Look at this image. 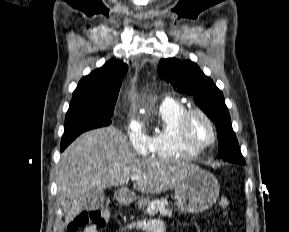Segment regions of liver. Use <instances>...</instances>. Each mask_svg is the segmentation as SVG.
I'll list each match as a JSON object with an SVG mask.
<instances>
[{"instance_id":"6515ba94","label":"liver","mask_w":289,"mask_h":232,"mask_svg":"<svg viewBox=\"0 0 289 232\" xmlns=\"http://www.w3.org/2000/svg\"><path fill=\"white\" fill-rule=\"evenodd\" d=\"M182 161L137 158L127 137L109 126L79 136L61 154L57 171V197L68 225L79 215L86 193L123 186L131 176H140L133 187L146 194H160L175 187L190 168Z\"/></svg>"}]
</instances>
